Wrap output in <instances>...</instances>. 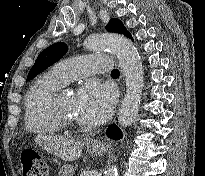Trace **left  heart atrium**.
<instances>
[{"instance_id":"left-heart-atrium-1","label":"left heart atrium","mask_w":205,"mask_h":176,"mask_svg":"<svg viewBox=\"0 0 205 176\" xmlns=\"http://www.w3.org/2000/svg\"><path fill=\"white\" fill-rule=\"evenodd\" d=\"M116 94L112 87L91 79L79 89L76 97V112L78 117L91 124L101 123L109 116Z\"/></svg>"}]
</instances>
